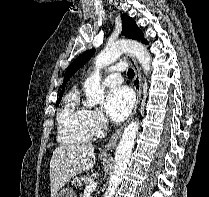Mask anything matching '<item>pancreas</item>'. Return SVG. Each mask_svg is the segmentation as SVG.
Returning a JSON list of instances; mask_svg holds the SVG:
<instances>
[{
    "label": "pancreas",
    "instance_id": "pancreas-1",
    "mask_svg": "<svg viewBox=\"0 0 209 197\" xmlns=\"http://www.w3.org/2000/svg\"><path fill=\"white\" fill-rule=\"evenodd\" d=\"M91 180H93V177L90 174H86V175L74 178V180L72 181V184L74 186H82L83 183H88Z\"/></svg>",
    "mask_w": 209,
    "mask_h": 197
}]
</instances>
